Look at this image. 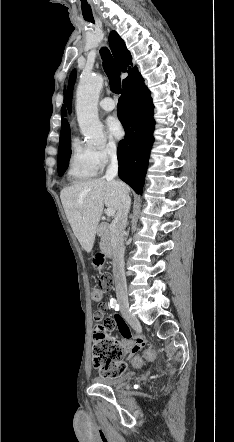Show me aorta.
Wrapping results in <instances>:
<instances>
[{"mask_svg":"<svg viewBox=\"0 0 234 442\" xmlns=\"http://www.w3.org/2000/svg\"><path fill=\"white\" fill-rule=\"evenodd\" d=\"M102 86L101 75H85L81 78L76 93L77 120L82 134L92 144L105 142L97 109Z\"/></svg>","mask_w":234,"mask_h":442,"instance_id":"1","label":"aorta"}]
</instances>
